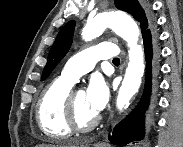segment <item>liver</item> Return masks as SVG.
<instances>
[{
    "instance_id": "1",
    "label": "liver",
    "mask_w": 183,
    "mask_h": 147,
    "mask_svg": "<svg viewBox=\"0 0 183 147\" xmlns=\"http://www.w3.org/2000/svg\"><path fill=\"white\" fill-rule=\"evenodd\" d=\"M86 146V144H84L81 141H67V142H63L57 145H47V144H41L37 147H84Z\"/></svg>"
}]
</instances>
